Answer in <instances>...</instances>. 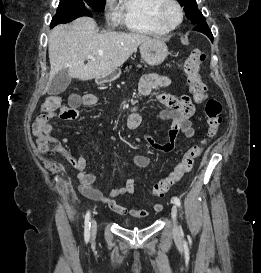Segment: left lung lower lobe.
<instances>
[{
    "instance_id": "0a47b994",
    "label": "left lung lower lobe",
    "mask_w": 261,
    "mask_h": 273,
    "mask_svg": "<svg viewBox=\"0 0 261 273\" xmlns=\"http://www.w3.org/2000/svg\"><path fill=\"white\" fill-rule=\"evenodd\" d=\"M194 30L204 33L205 35H207L210 38L211 41H213V35H212L211 30L209 29L206 21L195 25Z\"/></svg>"
}]
</instances>
